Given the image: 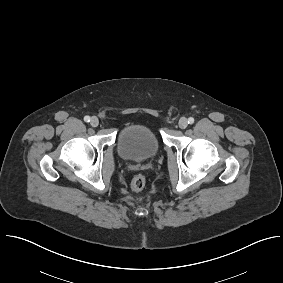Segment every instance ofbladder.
<instances>
[{
  "mask_svg": "<svg viewBox=\"0 0 283 283\" xmlns=\"http://www.w3.org/2000/svg\"><path fill=\"white\" fill-rule=\"evenodd\" d=\"M161 141L153 128L146 124H131L123 129L117 141V153L126 161H145L155 157Z\"/></svg>",
  "mask_w": 283,
  "mask_h": 283,
  "instance_id": "31cf9c89",
  "label": "bladder"
}]
</instances>
